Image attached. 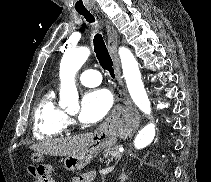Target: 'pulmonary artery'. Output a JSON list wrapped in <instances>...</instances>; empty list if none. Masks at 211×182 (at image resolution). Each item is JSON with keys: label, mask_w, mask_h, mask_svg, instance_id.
<instances>
[{"label": "pulmonary artery", "mask_w": 211, "mask_h": 182, "mask_svg": "<svg viewBox=\"0 0 211 182\" xmlns=\"http://www.w3.org/2000/svg\"><path fill=\"white\" fill-rule=\"evenodd\" d=\"M79 81L87 87H95L101 83L102 77L97 70L89 69L80 73Z\"/></svg>", "instance_id": "pulmonary-artery-1"}]
</instances>
